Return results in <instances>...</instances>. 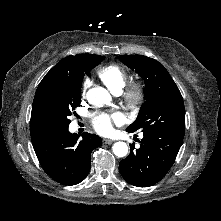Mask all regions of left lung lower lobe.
Listing matches in <instances>:
<instances>
[{
  "instance_id": "left-lung-lower-lobe-1",
  "label": "left lung lower lobe",
  "mask_w": 221,
  "mask_h": 221,
  "mask_svg": "<svg viewBox=\"0 0 221 221\" xmlns=\"http://www.w3.org/2000/svg\"><path fill=\"white\" fill-rule=\"evenodd\" d=\"M143 136L140 148L135 149L134 144L130 145V154L119 163L122 177L138 187L152 186L167 174L184 138L160 132L143 133Z\"/></svg>"
}]
</instances>
